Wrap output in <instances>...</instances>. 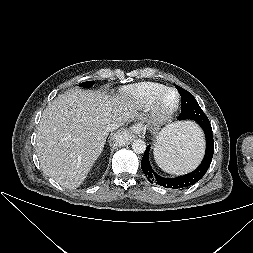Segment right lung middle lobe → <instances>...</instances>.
Returning <instances> with one entry per match:
<instances>
[{
  "label": "right lung middle lobe",
  "instance_id": "dd1d6c3e",
  "mask_svg": "<svg viewBox=\"0 0 253 253\" xmlns=\"http://www.w3.org/2000/svg\"><path fill=\"white\" fill-rule=\"evenodd\" d=\"M95 83V81H87V82H83L81 84H79V86L84 87V88H90L91 86H93Z\"/></svg>",
  "mask_w": 253,
  "mask_h": 253
}]
</instances>
